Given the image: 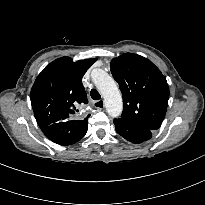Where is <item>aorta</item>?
<instances>
[{
    "instance_id": "aorta-1",
    "label": "aorta",
    "mask_w": 205,
    "mask_h": 205,
    "mask_svg": "<svg viewBox=\"0 0 205 205\" xmlns=\"http://www.w3.org/2000/svg\"><path fill=\"white\" fill-rule=\"evenodd\" d=\"M91 75L95 86L104 98L107 113L112 117L120 116L123 102L115 80L102 69H94Z\"/></svg>"
}]
</instances>
